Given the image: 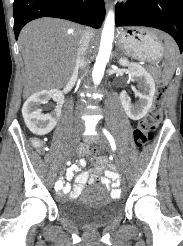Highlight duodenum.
I'll list each match as a JSON object with an SVG mask.
<instances>
[{"mask_svg": "<svg viewBox=\"0 0 183 246\" xmlns=\"http://www.w3.org/2000/svg\"><path fill=\"white\" fill-rule=\"evenodd\" d=\"M90 146H91V145H90ZM80 150H81V151H86V150H87V147H86V146H81V147H80Z\"/></svg>", "mask_w": 183, "mask_h": 246, "instance_id": "duodenum-1", "label": "duodenum"}]
</instances>
